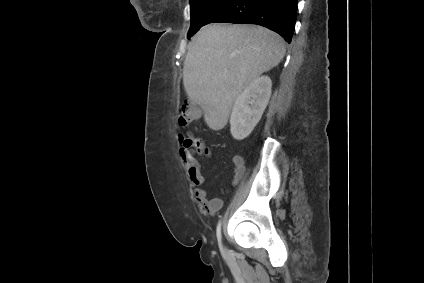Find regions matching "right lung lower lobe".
Segmentation results:
<instances>
[{
	"label": "right lung lower lobe",
	"instance_id": "right-lung-lower-lobe-1",
	"mask_svg": "<svg viewBox=\"0 0 424 283\" xmlns=\"http://www.w3.org/2000/svg\"><path fill=\"white\" fill-rule=\"evenodd\" d=\"M297 1L229 0L206 24L211 22L257 24L277 32L290 43L296 21Z\"/></svg>",
	"mask_w": 424,
	"mask_h": 283
}]
</instances>
